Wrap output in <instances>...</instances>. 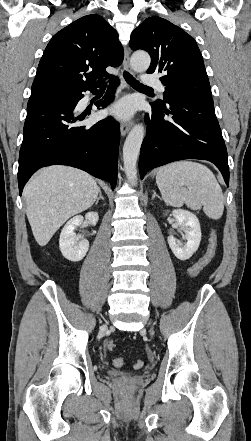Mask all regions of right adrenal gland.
I'll return each mask as SVG.
<instances>
[{
  "label": "right adrenal gland",
  "mask_w": 251,
  "mask_h": 441,
  "mask_svg": "<svg viewBox=\"0 0 251 441\" xmlns=\"http://www.w3.org/2000/svg\"><path fill=\"white\" fill-rule=\"evenodd\" d=\"M100 199H102L104 201V197L102 196L101 190L99 189V197L96 199L95 205L98 204Z\"/></svg>",
  "instance_id": "obj_1"
}]
</instances>
